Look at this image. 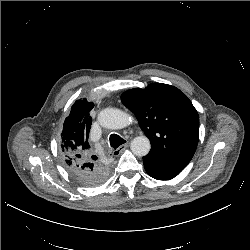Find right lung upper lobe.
<instances>
[{"label": "right lung upper lobe", "instance_id": "right-lung-upper-lobe-1", "mask_svg": "<svg viewBox=\"0 0 250 250\" xmlns=\"http://www.w3.org/2000/svg\"><path fill=\"white\" fill-rule=\"evenodd\" d=\"M93 107L94 103L86 99L77 100L72 105L70 114L63 124L61 153L65 166L70 169L110 173L108 164L98 160L95 155H91L88 137L92 118L89 112Z\"/></svg>", "mask_w": 250, "mask_h": 250}]
</instances>
